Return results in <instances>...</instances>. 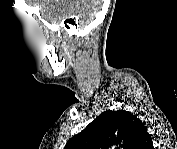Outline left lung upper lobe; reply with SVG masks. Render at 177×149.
Returning <instances> with one entry per match:
<instances>
[{"instance_id": "left-lung-upper-lobe-1", "label": "left lung upper lobe", "mask_w": 177, "mask_h": 149, "mask_svg": "<svg viewBox=\"0 0 177 149\" xmlns=\"http://www.w3.org/2000/svg\"><path fill=\"white\" fill-rule=\"evenodd\" d=\"M146 134L137 116L125 110H108L70 138L64 149H146Z\"/></svg>"}]
</instances>
